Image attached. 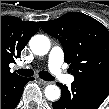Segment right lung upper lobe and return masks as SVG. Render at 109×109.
Segmentation results:
<instances>
[{"label": "right lung upper lobe", "instance_id": "1", "mask_svg": "<svg viewBox=\"0 0 109 109\" xmlns=\"http://www.w3.org/2000/svg\"><path fill=\"white\" fill-rule=\"evenodd\" d=\"M39 29L37 22L22 21L14 16L1 17V82L18 76L10 73L9 64Z\"/></svg>", "mask_w": 109, "mask_h": 109}]
</instances>
